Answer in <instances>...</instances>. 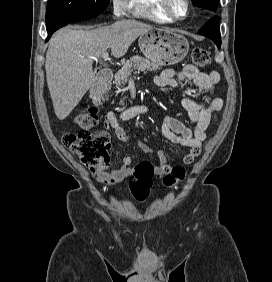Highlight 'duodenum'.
<instances>
[{
    "mask_svg": "<svg viewBox=\"0 0 272 282\" xmlns=\"http://www.w3.org/2000/svg\"><path fill=\"white\" fill-rule=\"evenodd\" d=\"M112 80V73L110 71L101 72L96 81L90 86L89 92L94 101H99L105 91L106 86Z\"/></svg>",
    "mask_w": 272,
    "mask_h": 282,
    "instance_id": "duodenum-1",
    "label": "duodenum"
}]
</instances>
